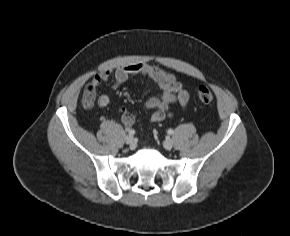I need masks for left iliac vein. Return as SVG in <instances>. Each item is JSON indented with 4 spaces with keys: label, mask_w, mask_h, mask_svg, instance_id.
<instances>
[{
    "label": "left iliac vein",
    "mask_w": 290,
    "mask_h": 236,
    "mask_svg": "<svg viewBox=\"0 0 290 236\" xmlns=\"http://www.w3.org/2000/svg\"><path fill=\"white\" fill-rule=\"evenodd\" d=\"M163 146L167 150H171L173 147V141L171 139H166L163 143Z\"/></svg>",
    "instance_id": "obj_1"
}]
</instances>
